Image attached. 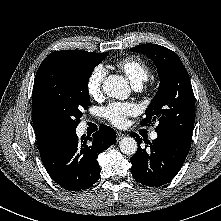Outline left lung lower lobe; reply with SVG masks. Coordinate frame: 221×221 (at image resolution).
Listing matches in <instances>:
<instances>
[{
	"instance_id": "left-lung-lower-lobe-1",
	"label": "left lung lower lobe",
	"mask_w": 221,
	"mask_h": 221,
	"mask_svg": "<svg viewBox=\"0 0 221 221\" xmlns=\"http://www.w3.org/2000/svg\"><path fill=\"white\" fill-rule=\"evenodd\" d=\"M158 137L149 146L141 148L142 138L132 132L139 148L131 158V173L141 184L162 186L171 181L181 169L191 147V140L180 135L157 132Z\"/></svg>"
}]
</instances>
